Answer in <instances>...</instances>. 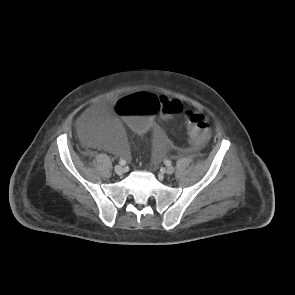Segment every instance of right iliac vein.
I'll return each instance as SVG.
<instances>
[{"instance_id": "63e3f726", "label": "right iliac vein", "mask_w": 295, "mask_h": 295, "mask_svg": "<svg viewBox=\"0 0 295 295\" xmlns=\"http://www.w3.org/2000/svg\"><path fill=\"white\" fill-rule=\"evenodd\" d=\"M114 171L116 172V174L121 175L123 173V167L121 165H116L114 167Z\"/></svg>"}]
</instances>
